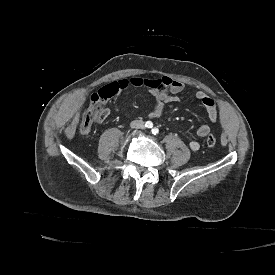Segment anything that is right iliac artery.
<instances>
[{
	"label": "right iliac artery",
	"mask_w": 275,
	"mask_h": 275,
	"mask_svg": "<svg viewBox=\"0 0 275 275\" xmlns=\"http://www.w3.org/2000/svg\"><path fill=\"white\" fill-rule=\"evenodd\" d=\"M145 127H147V128H152V127H153V123H152L151 121H147V122L145 123Z\"/></svg>",
	"instance_id": "82829eb1"
}]
</instances>
